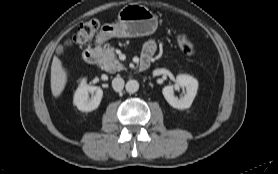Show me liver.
<instances>
[{
    "mask_svg": "<svg viewBox=\"0 0 278 174\" xmlns=\"http://www.w3.org/2000/svg\"><path fill=\"white\" fill-rule=\"evenodd\" d=\"M67 83V71L62 65V61L54 56L51 65V91L55 98H58Z\"/></svg>",
    "mask_w": 278,
    "mask_h": 174,
    "instance_id": "6515ba94",
    "label": "liver"
}]
</instances>
